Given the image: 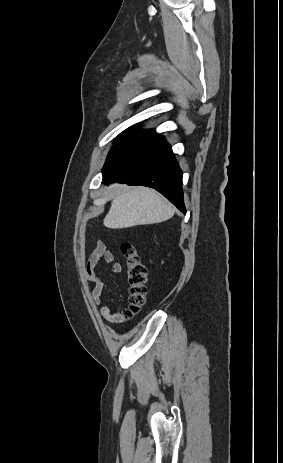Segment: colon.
<instances>
[{"mask_svg": "<svg viewBox=\"0 0 283 463\" xmlns=\"http://www.w3.org/2000/svg\"><path fill=\"white\" fill-rule=\"evenodd\" d=\"M120 250L125 258L129 293V304L123 309L121 319L128 320L132 318L145 303L149 276L146 265L131 243L123 241L120 244Z\"/></svg>", "mask_w": 283, "mask_h": 463, "instance_id": "colon-1", "label": "colon"}]
</instances>
